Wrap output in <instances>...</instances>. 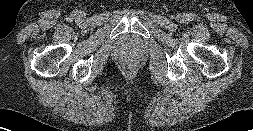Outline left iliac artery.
<instances>
[{
  "mask_svg": "<svg viewBox=\"0 0 253 131\" xmlns=\"http://www.w3.org/2000/svg\"><path fill=\"white\" fill-rule=\"evenodd\" d=\"M190 21H194L196 19L194 14H190L189 18Z\"/></svg>",
  "mask_w": 253,
  "mask_h": 131,
  "instance_id": "left-iliac-artery-1",
  "label": "left iliac artery"
}]
</instances>
